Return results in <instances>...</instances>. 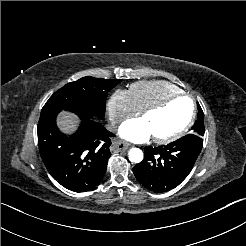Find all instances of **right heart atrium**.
Instances as JSON below:
<instances>
[{
    "instance_id": "right-heart-atrium-1",
    "label": "right heart atrium",
    "mask_w": 246,
    "mask_h": 246,
    "mask_svg": "<svg viewBox=\"0 0 246 246\" xmlns=\"http://www.w3.org/2000/svg\"><path fill=\"white\" fill-rule=\"evenodd\" d=\"M107 113L112 123L133 117L136 111L128 91L117 89L107 103Z\"/></svg>"
}]
</instances>
